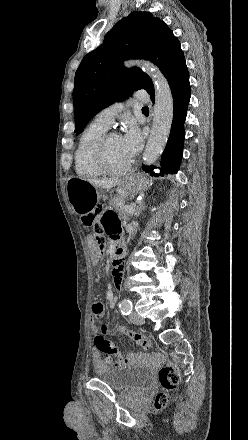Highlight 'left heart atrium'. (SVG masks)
Wrapping results in <instances>:
<instances>
[{
	"label": "left heart atrium",
	"instance_id": "1",
	"mask_svg": "<svg viewBox=\"0 0 248 440\" xmlns=\"http://www.w3.org/2000/svg\"><path fill=\"white\" fill-rule=\"evenodd\" d=\"M121 143L126 154L133 159L142 146L140 130L133 121H129L121 136Z\"/></svg>",
	"mask_w": 248,
	"mask_h": 440
}]
</instances>
